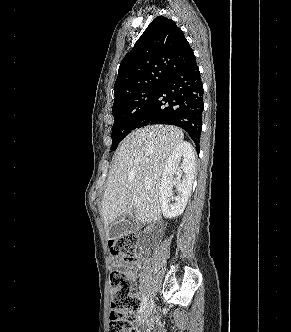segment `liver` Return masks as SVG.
<instances>
[{"label":"liver","instance_id":"obj_1","mask_svg":"<svg viewBox=\"0 0 291 332\" xmlns=\"http://www.w3.org/2000/svg\"><path fill=\"white\" fill-rule=\"evenodd\" d=\"M183 132L174 126H147L131 132L119 145L101 202V216L109 232L117 217L134 208L142 223L160 219L159 188L166 162ZM140 200L139 204L133 202Z\"/></svg>","mask_w":291,"mask_h":332}]
</instances>
